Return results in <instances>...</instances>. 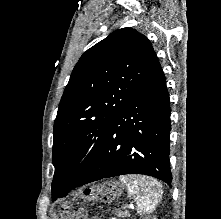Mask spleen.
Instances as JSON below:
<instances>
[{
	"label": "spleen",
	"mask_w": 221,
	"mask_h": 219,
	"mask_svg": "<svg viewBox=\"0 0 221 219\" xmlns=\"http://www.w3.org/2000/svg\"><path fill=\"white\" fill-rule=\"evenodd\" d=\"M122 184L126 185L128 195L137 201L139 215L155 210L162 194V185L155 179L144 176H120Z\"/></svg>",
	"instance_id": "1"
}]
</instances>
